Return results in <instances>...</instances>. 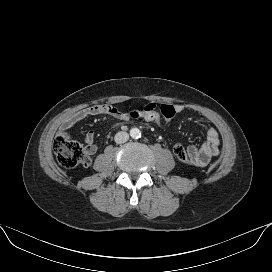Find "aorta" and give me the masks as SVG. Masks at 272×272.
Segmentation results:
<instances>
[{"instance_id":"1","label":"aorta","mask_w":272,"mask_h":272,"mask_svg":"<svg viewBox=\"0 0 272 272\" xmlns=\"http://www.w3.org/2000/svg\"><path fill=\"white\" fill-rule=\"evenodd\" d=\"M130 136L134 139H138L141 137V132L138 128L134 127L130 130Z\"/></svg>"}]
</instances>
